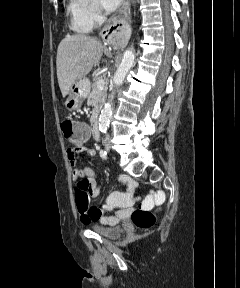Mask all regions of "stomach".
Returning a JSON list of instances; mask_svg holds the SVG:
<instances>
[{
    "label": "stomach",
    "mask_w": 240,
    "mask_h": 288,
    "mask_svg": "<svg viewBox=\"0 0 240 288\" xmlns=\"http://www.w3.org/2000/svg\"><path fill=\"white\" fill-rule=\"evenodd\" d=\"M91 89L90 81L87 78H82L76 81L69 92V96L65 102V106L69 111H74L80 108L83 100L89 95Z\"/></svg>",
    "instance_id": "stomach-1"
}]
</instances>
